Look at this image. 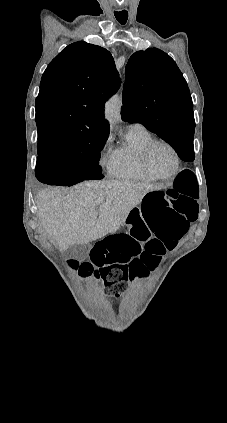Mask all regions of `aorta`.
Segmentation results:
<instances>
[{
	"label": "aorta",
	"instance_id": "obj_1",
	"mask_svg": "<svg viewBox=\"0 0 227 423\" xmlns=\"http://www.w3.org/2000/svg\"><path fill=\"white\" fill-rule=\"evenodd\" d=\"M122 106V100L117 94L112 96L105 105V118L108 121L110 127L116 125L120 120V110Z\"/></svg>",
	"mask_w": 227,
	"mask_h": 423
}]
</instances>
